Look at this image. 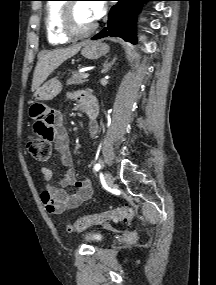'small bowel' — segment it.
I'll return each mask as SVG.
<instances>
[{"label":"small bowel","instance_id":"small-bowel-1","mask_svg":"<svg viewBox=\"0 0 216 285\" xmlns=\"http://www.w3.org/2000/svg\"><path fill=\"white\" fill-rule=\"evenodd\" d=\"M77 100L79 108L85 110L96 104L94 95L89 90H80L72 95ZM31 117L34 121L32 133L42 136V141L54 143L60 160L65 166H71L72 158L69 148V137L63 125L62 114L44 104L37 103L31 108ZM97 133L92 126V134ZM45 186L41 193V200L50 214H62L78 208L84 201L93 195V186L90 179H77L72 170H68L63 178L56 182L53 171L48 166L41 168ZM74 186L75 192H68L67 187Z\"/></svg>","mask_w":216,"mask_h":285}]
</instances>
